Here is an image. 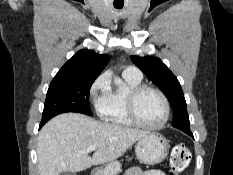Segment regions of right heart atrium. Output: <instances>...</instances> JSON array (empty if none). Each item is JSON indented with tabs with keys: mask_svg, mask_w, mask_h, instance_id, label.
Wrapping results in <instances>:
<instances>
[{
	"mask_svg": "<svg viewBox=\"0 0 233 175\" xmlns=\"http://www.w3.org/2000/svg\"><path fill=\"white\" fill-rule=\"evenodd\" d=\"M108 88L109 82L107 77L105 75H100L90 86L89 94L93 100L98 102L99 99L106 93Z\"/></svg>",
	"mask_w": 233,
	"mask_h": 175,
	"instance_id": "right-heart-atrium-1",
	"label": "right heart atrium"
}]
</instances>
